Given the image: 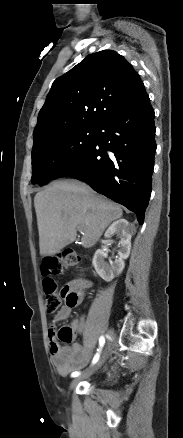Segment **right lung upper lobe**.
Listing matches in <instances>:
<instances>
[{
    "mask_svg": "<svg viewBox=\"0 0 183 438\" xmlns=\"http://www.w3.org/2000/svg\"><path fill=\"white\" fill-rule=\"evenodd\" d=\"M145 95L138 73L123 56L112 50L91 54L54 81L33 140L65 129L98 127Z\"/></svg>",
    "mask_w": 183,
    "mask_h": 438,
    "instance_id": "1",
    "label": "right lung upper lobe"
}]
</instances>
